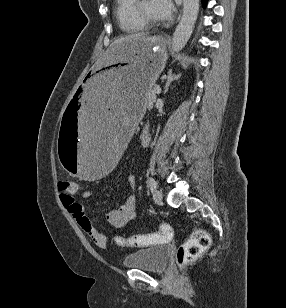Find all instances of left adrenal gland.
Instances as JSON below:
<instances>
[{"label":"left adrenal gland","mask_w":286,"mask_h":308,"mask_svg":"<svg viewBox=\"0 0 286 308\" xmlns=\"http://www.w3.org/2000/svg\"><path fill=\"white\" fill-rule=\"evenodd\" d=\"M180 76H181L180 73L177 74V75L172 74V70H170V71L168 72V77H167V81H166L165 88H164V92H163L164 94H166V93L168 92V89H169L170 84H171L173 81L178 80V79L180 78Z\"/></svg>","instance_id":"obj_1"}]
</instances>
